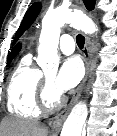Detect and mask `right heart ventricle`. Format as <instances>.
<instances>
[{"label":"right heart ventricle","instance_id":"1","mask_svg":"<svg viewBox=\"0 0 117 136\" xmlns=\"http://www.w3.org/2000/svg\"><path fill=\"white\" fill-rule=\"evenodd\" d=\"M43 74L32 63L31 55H25L13 71L7 86L8 110L17 116L38 118L41 110L37 95Z\"/></svg>","mask_w":117,"mask_h":136}]
</instances>
